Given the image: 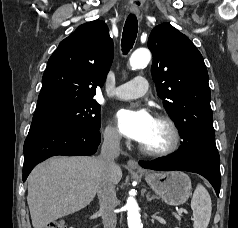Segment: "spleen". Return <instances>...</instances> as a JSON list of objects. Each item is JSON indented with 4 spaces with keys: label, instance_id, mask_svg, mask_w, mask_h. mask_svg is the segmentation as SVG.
Wrapping results in <instances>:
<instances>
[{
    "label": "spleen",
    "instance_id": "3e777b00",
    "mask_svg": "<svg viewBox=\"0 0 238 228\" xmlns=\"http://www.w3.org/2000/svg\"><path fill=\"white\" fill-rule=\"evenodd\" d=\"M193 228H207L211 218V197L204 186L198 184L191 200Z\"/></svg>",
    "mask_w": 238,
    "mask_h": 228
}]
</instances>
